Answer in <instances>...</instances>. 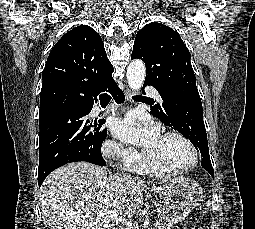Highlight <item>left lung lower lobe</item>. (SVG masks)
<instances>
[{"instance_id":"1","label":"left lung lower lobe","mask_w":255,"mask_h":229,"mask_svg":"<svg viewBox=\"0 0 255 229\" xmlns=\"http://www.w3.org/2000/svg\"><path fill=\"white\" fill-rule=\"evenodd\" d=\"M173 115L174 120H176L179 124L188 122L191 124V128L196 130L198 133L206 134L201 102H191L189 104H186L181 109L175 110L173 112ZM189 119L191 120L189 121ZM201 166L205 170H207L214 178V171L211 164L209 153L202 154Z\"/></svg>"}]
</instances>
